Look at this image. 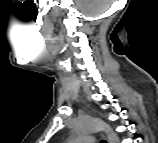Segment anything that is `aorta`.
<instances>
[{
    "instance_id": "aorta-1",
    "label": "aorta",
    "mask_w": 158,
    "mask_h": 143,
    "mask_svg": "<svg viewBox=\"0 0 158 143\" xmlns=\"http://www.w3.org/2000/svg\"><path fill=\"white\" fill-rule=\"evenodd\" d=\"M97 131H105L110 143H119L117 134L112 128L102 120L89 118L80 120L75 126V132L77 135H84Z\"/></svg>"
}]
</instances>
